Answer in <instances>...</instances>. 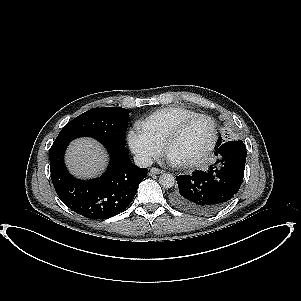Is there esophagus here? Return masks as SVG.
I'll return each mask as SVG.
<instances>
[{
	"instance_id": "esophagus-1",
	"label": "esophagus",
	"mask_w": 301,
	"mask_h": 301,
	"mask_svg": "<svg viewBox=\"0 0 301 301\" xmlns=\"http://www.w3.org/2000/svg\"><path fill=\"white\" fill-rule=\"evenodd\" d=\"M163 172H164L163 170L155 168V167L150 169V174H161Z\"/></svg>"
}]
</instances>
